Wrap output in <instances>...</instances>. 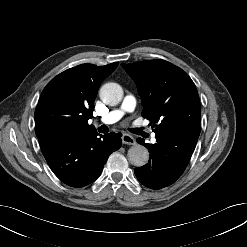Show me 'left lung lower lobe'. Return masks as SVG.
Here are the masks:
<instances>
[{"mask_svg":"<svg viewBox=\"0 0 247 247\" xmlns=\"http://www.w3.org/2000/svg\"><path fill=\"white\" fill-rule=\"evenodd\" d=\"M198 138L178 130L156 134L155 144L137 142L148 148L150 160L135 169L137 179L146 187L161 189L174 183L184 172L196 146Z\"/></svg>","mask_w":247,"mask_h":247,"instance_id":"1","label":"left lung lower lobe"}]
</instances>
